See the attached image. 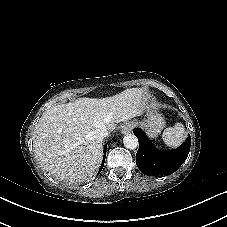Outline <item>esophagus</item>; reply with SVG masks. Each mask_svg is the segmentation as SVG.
<instances>
[{"label": "esophagus", "instance_id": "obj_1", "mask_svg": "<svg viewBox=\"0 0 227 227\" xmlns=\"http://www.w3.org/2000/svg\"><path fill=\"white\" fill-rule=\"evenodd\" d=\"M132 129H133V124L127 123V124H125V125L122 126L121 132H122L123 134H127V133H129Z\"/></svg>", "mask_w": 227, "mask_h": 227}]
</instances>
